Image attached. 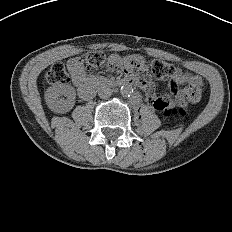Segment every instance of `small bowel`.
Returning <instances> with one entry per match:
<instances>
[{
	"mask_svg": "<svg viewBox=\"0 0 232 232\" xmlns=\"http://www.w3.org/2000/svg\"><path fill=\"white\" fill-rule=\"evenodd\" d=\"M68 68L71 72L74 85L78 91L89 83L90 77L85 72L79 58L68 61ZM104 70L108 74H115L121 71L125 76H133L137 86L146 91L147 99L153 108L159 112H164L171 105L172 99L169 96L157 98L152 90L153 80L149 78V61L143 59L140 55L130 54L129 56L117 55L110 57L104 63ZM188 84L203 86V80L200 76L176 69L175 74L171 77L169 88L173 91L177 103H185V90L178 89V85Z\"/></svg>",
	"mask_w": 232,
	"mask_h": 232,
	"instance_id": "small-bowel-1",
	"label": "small bowel"
}]
</instances>
